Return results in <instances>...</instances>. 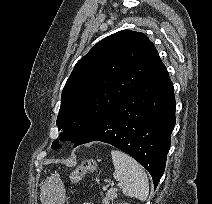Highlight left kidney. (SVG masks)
I'll return each mask as SVG.
<instances>
[{"label": "left kidney", "mask_w": 212, "mask_h": 204, "mask_svg": "<svg viewBox=\"0 0 212 204\" xmlns=\"http://www.w3.org/2000/svg\"><path fill=\"white\" fill-rule=\"evenodd\" d=\"M119 204H128V203H119Z\"/></svg>", "instance_id": "1"}]
</instances>
